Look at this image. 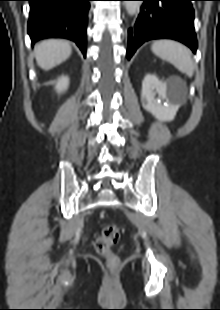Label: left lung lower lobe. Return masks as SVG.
<instances>
[{
	"label": "left lung lower lobe",
	"instance_id": "1",
	"mask_svg": "<svg viewBox=\"0 0 220 310\" xmlns=\"http://www.w3.org/2000/svg\"><path fill=\"white\" fill-rule=\"evenodd\" d=\"M140 14L129 30L128 60L143 43L169 38L187 45L194 53L197 38L194 30V0H140Z\"/></svg>",
	"mask_w": 220,
	"mask_h": 310
}]
</instances>
